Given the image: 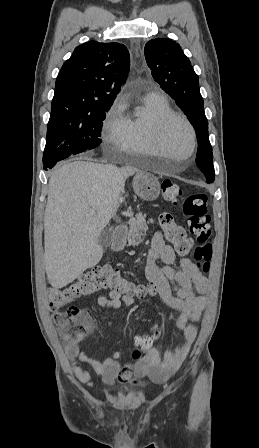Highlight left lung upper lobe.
Wrapping results in <instances>:
<instances>
[{
    "instance_id": "obj_1",
    "label": "left lung upper lobe",
    "mask_w": 259,
    "mask_h": 448,
    "mask_svg": "<svg viewBox=\"0 0 259 448\" xmlns=\"http://www.w3.org/2000/svg\"><path fill=\"white\" fill-rule=\"evenodd\" d=\"M145 57L154 80L175 99L196 131L197 162L212 159L208 122L199 90L198 75L180 45L167 38L150 40L145 45Z\"/></svg>"
}]
</instances>
